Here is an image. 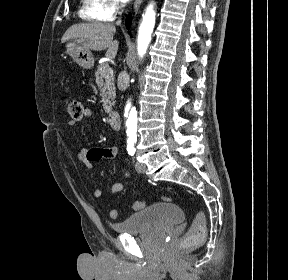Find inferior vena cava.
Returning a JSON list of instances; mask_svg holds the SVG:
<instances>
[{
    "label": "inferior vena cava",
    "instance_id": "inferior-vena-cava-1",
    "mask_svg": "<svg viewBox=\"0 0 288 280\" xmlns=\"http://www.w3.org/2000/svg\"><path fill=\"white\" fill-rule=\"evenodd\" d=\"M117 25L121 24V19L119 18L116 22ZM129 81V76L128 74L123 71L119 74L118 76V89L119 90H126L127 89V84Z\"/></svg>",
    "mask_w": 288,
    "mask_h": 280
}]
</instances>
